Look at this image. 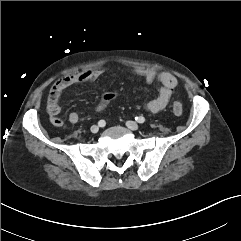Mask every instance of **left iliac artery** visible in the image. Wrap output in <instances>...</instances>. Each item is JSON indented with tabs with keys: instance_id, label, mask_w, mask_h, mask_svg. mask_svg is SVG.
<instances>
[{
	"instance_id": "1",
	"label": "left iliac artery",
	"mask_w": 241,
	"mask_h": 241,
	"mask_svg": "<svg viewBox=\"0 0 241 241\" xmlns=\"http://www.w3.org/2000/svg\"><path fill=\"white\" fill-rule=\"evenodd\" d=\"M135 120H136L138 123H144V122H145V118H144L143 116L135 117Z\"/></svg>"
}]
</instances>
